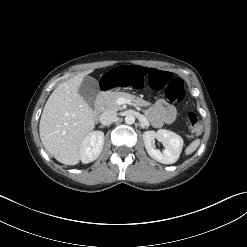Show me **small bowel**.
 Masks as SVG:
<instances>
[{
  "label": "small bowel",
  "instance_id": "1",
  "mask_svg": "<svg viewBox=\"0 0 247 247\" xmlns=\"http://www.w3.org/2000/svg\"><path fill=\"white\" fill-rule=\"evenodd\" d=\"M153 123L156 126L162 123H171L175 118V109L165 100H158L149 111Z\"/></svg>",
  "mask_w": 247,
  "mask_h": 247
}]
</instances>
